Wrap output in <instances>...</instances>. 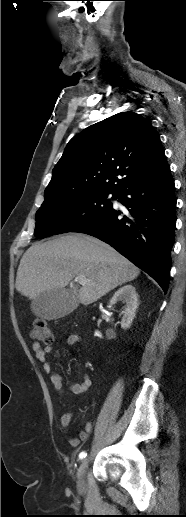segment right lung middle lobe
I'll list each match as a JSON object with an SVG mask.
<instances>
[{"mask_svg": "<svg viewBox=\"0 0 186 517\" xmlns=\"http://www.w3.org/2000/svg\"><path fill=\"white\" fill-rule=\"evenodd\" d=\"M109 194L86 191L43 202L36 212L34 235L37 238H45L72 232L112 208V203L107 199ZM113 197L117 198V194H113Z\"/></svg>", "mask_w": 186, "mask_h": 517, "instance_id": "dd1d6c3e", "label": "right lung middle lobe"}]
</instances>
